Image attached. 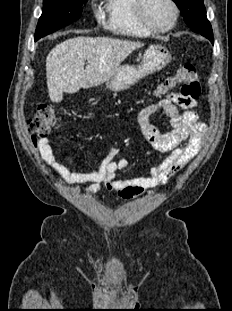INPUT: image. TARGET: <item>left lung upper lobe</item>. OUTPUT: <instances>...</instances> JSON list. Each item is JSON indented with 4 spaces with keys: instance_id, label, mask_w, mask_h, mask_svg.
Instances as JSON below:
<instances>
[{
    "instance_id": "obj_1",
    "label": "left lung upper lobe",
    "mask_w": 232,
    "mask_h": 311,
    "mask_svg": "<svg viewBox=\"0 0 232 311\" xmlns=\"http://www.w3.org/2000/svg\"><path fill=\"white\" fill-rule=\"evenodd\" d=\"M181 11L184 21L194 32H204L211 28L206 17L203 0H173Z\"/></svg>"
}]
</instances>
